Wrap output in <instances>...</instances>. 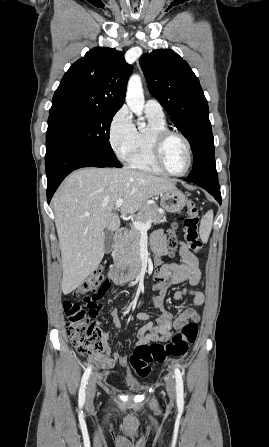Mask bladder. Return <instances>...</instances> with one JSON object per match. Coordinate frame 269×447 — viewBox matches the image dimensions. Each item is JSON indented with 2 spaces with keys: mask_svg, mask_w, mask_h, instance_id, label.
I'll use <instances>...</instances> for the list:
<instances>
[{
  "mask_svg": "<svg viewBox=\"0 0 269 447\" xmlns=\"http://www.w3.org/2000/svg\"><path fill=\"white\" fill-rule=\"evenodd\" d=\"M122 383L131 392H136L141 390V382L134 376V374H125L122 379Z\"/></svg>",
  "mask_w": 269,
  "mask_h": 447,
  "instance_id": "obj_1",
  "label": "bladder"
}]
</instances>
